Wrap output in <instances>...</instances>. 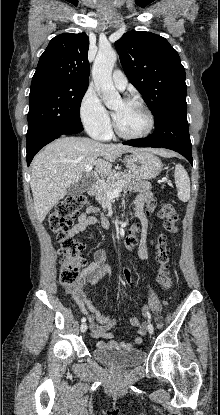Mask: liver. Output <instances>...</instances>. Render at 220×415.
Listing matches in <instances>:
<instances>
[{"label": "liver", "mask_w": 220, "mask_h": 415, "mask_svg": "<svg viewBox=\"0 0 220 415\" xmlns=\"http://www.w3.org/2000/svg\"><path fill=\"white\" fill-rule=\"evenodd\" d=\"M136 149L122 144H104L85 137H62L47 145L32 161L30 186L34 208L39 222H43L53 206L68 189L81 180L87 165L106 177L111 173L112 162L123 153ZM161 156L173 153L155 150Z\"/></svg>", "instance_id": "liver-1"}]
</instances>
